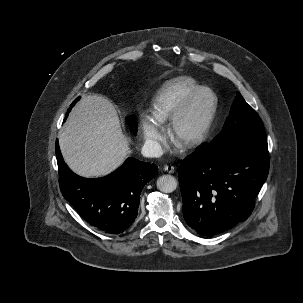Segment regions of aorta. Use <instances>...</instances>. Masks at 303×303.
Masks as SVG:
<instances>
[{"mask_svg":"<svg viewBox=\"0 0 303 303\" xmlns=\"http://www.w3.org/2000/svg\"><path fill=\"white\" fill-rule=\"evenodd\" d=\"M157 188L164 193H171L177 188V180L172 175H163L157 179Z\"/></svg>","mask_w":303,"mask_h":303,"instance_id":"obj_1","label":"aorta"}]
</instances>
